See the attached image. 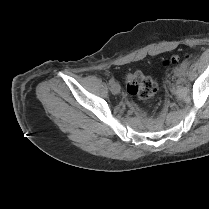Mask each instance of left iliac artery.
<instances>
[{"instance_id":"44dca946","label":"left iliac artery","mask_w":209,"mask_h":209,"mask_svg":"<svg viewBox=\"0 0 209 209\" xmlns=\"http://www.w3.org/2000/svg\"><path fill=\"white\" fill-rule=\"evenodd\" d=\"M181 66H182V68H183L184 70H186V69H187V66H188V62L184 61V62L181 64Z\"/></svg>"}]
</instances>
